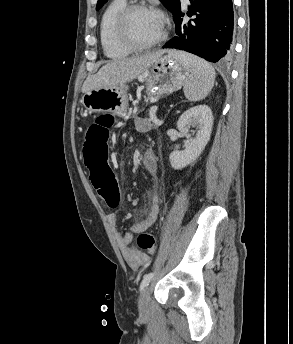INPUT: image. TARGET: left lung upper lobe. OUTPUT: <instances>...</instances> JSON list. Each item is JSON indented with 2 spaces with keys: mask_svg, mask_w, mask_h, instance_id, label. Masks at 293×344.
Instances as JSON below:
<instances>
[{
  "mask_svg": "<svg viewBox=\"0 0 293 344\" xmlns=\"http://www.w3.org/2000/svg\"><path fill=\"white\" fill-rule=\"evenodd\" d=\"M161 3L173 14L178 7L180 0H160ZM107 2V0H98L96 10L102 8V6Z\"/></svg>",
  "mask_w": 293,
  "mask_h": 344,
  "instance_id": "left-lung-upper-lobe-1",
  "label": "left lung upper lobe"
}]
</instances>
